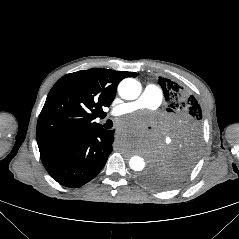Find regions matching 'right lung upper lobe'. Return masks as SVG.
<instances>
[{
	"mask_svg": "<svg viewBox=\"0 0 239 239\" xmlns=\"http://www.w3.org/2000/svg\"><path fill=\"white\" fill-rule=\"evenodd\" d=\"M135 72L103 68L77 71L60 78L50 90L37 122L39 151L80 138L96 128L119 82Z\"/></svg>",
	"mask_w": 239,
	"mask_h": 239,
	"instance_id": "right-lung-upper-lobe-1",
	"label": "right lung upper lobe"
}]
</instances>
